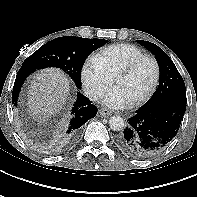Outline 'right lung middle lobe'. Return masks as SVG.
Returning a JSON list of instances; mask_svg holds the SVG:
<instances>
[{
	"instance_id": "right-lung-middle-lobe-1",
	"label": "right lung middle lobe",
	"mask_w": 197,
	"mask_h": 197,
	"mask_svg": "<svg viewBox=\"0 0 197 197\" xmlns=\"http://www.w3.org/2000/svg\"><path fill=\"white\" fill-rule=\"evenodd\" d=\"M107 43L104 39L64 36L44 44L24 62L22 67L34 70L58 67L71 76L77 88L81 87V69L87 56Z\"/></svg>"
}]
</instances>
